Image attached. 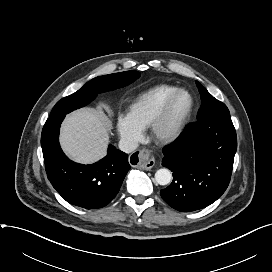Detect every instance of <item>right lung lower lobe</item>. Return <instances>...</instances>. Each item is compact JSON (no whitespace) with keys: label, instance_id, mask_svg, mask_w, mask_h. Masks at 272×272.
Returning a JSON list of instances; mask_svg holds the SVG:
<instances>
[{"label":"right lung lower lobe","instance_id":"1","mask_svg":"<svg viewBox=\"0 0 272 272\" xmlns=\"http://www.w3.org/2000/svg\"><path fill=\"white\" fill-rule=\"evenodd\" d=\"M65 115L47 119L41 146L48 179L70 204L95 209L106 206L117 195L130 170L128 155L108 146L107 155L94 164L71 161L59 144V129Z\"/></svg>","mask_w":272,"mask_h":272}]
</instances>
